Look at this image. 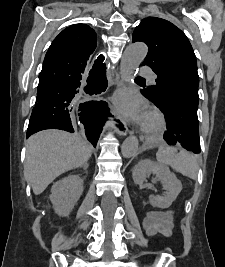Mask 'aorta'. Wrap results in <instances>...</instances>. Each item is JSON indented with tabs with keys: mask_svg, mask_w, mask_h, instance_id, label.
<instances>
[{
	"mask_svg": "<svg viewBox=\"0 0 225 267\" xmlns=\"http://www.w3.org/2000/svg\"><path fill=\"white\" fill-rule=\"evenodd\" d=\"M148 52L146 44L137 42L130 44L124 51L120 70L122 78L125 82L133 80L138 67L144 60ZM138 139L134 136L126 138L121 146V153L124 158H132L137 154L138 151Z\"/></svg>",
	"mask_w": 225,
	"mask_h": 267,
	"instance_id": "762f6f07",
	"label": "aorta"
}]
</instances>
